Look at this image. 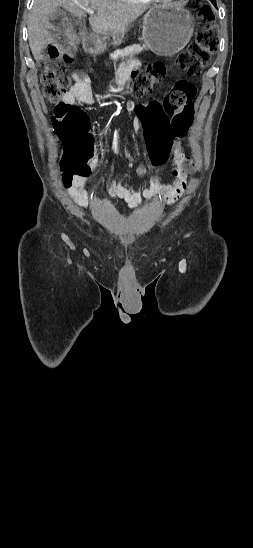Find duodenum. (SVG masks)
Instances as JSON below:
<instances>
[{
  "mask_svg": "<svg viewBox=\"0 0 253 548\" xmlns=\"http://www.w3.org/2000/svg\"><path fill=\"white\" fill-rule=\"evenodd\" d=\"M88 46L92 47V46H93V42H92V41L88 42Z\"/></svg>",
  "mask_w": 253,
  "mask_h": 548,
  "instance_id": "1",
  "label": "duodenum"
}]
</instances>
